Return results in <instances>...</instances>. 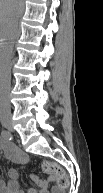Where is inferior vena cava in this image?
<instances>
[{"label": "inferior vena cava", "instance_id": "1", "mask_svg": "<svg viewBox=\"0 0 103 193\" xmlns=\"http://www.w3.org/2000/svg\"><path fill=\"white\" fill-rule=\"evenodd\" d=\"M22 9V5L20 7ZM18 35V21L15 18L4 42L1 44L0 57V116L11 117L10 84H11V59L14 40Z\"/></svg>", "mask_w": 103, "mask_h": 193}]
</instances>
